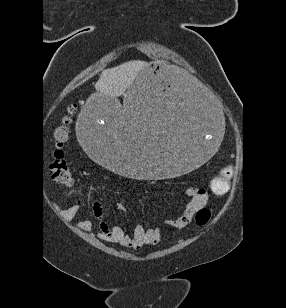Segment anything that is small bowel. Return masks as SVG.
I'll return each mask as SVG.
<instances>
[{
  "label": "small bowel",
  "mask_w": 286,
  "mask_h": 308,
  "mask_svg": "<svg viewBox=\"0 0 286 308\" xmlns=\"http://www.w3.org/2000/svg\"><path fill=\"white\" fill-rule=\"evenodd\" d=\"M186 195L190 198V201L186 205L184 211L176 218L167 221V225L176 228L183 229L187 227L194 214L202 208L208 200V194L205 189L190 186L186 189ZM81 208L80 203H76L67 209L63 210L62 214L65 220H72L77 216ZM116 208L119 211L125 212L127 210L123 203H116ZM93 212L95 217L100 218L102 214V207L99 202H95L93 205ZM77 228L82 231H89L93 228L92 220H83L77 223ZM99 237L104 241L115 242L123 247L130 249H139L147 245H156L161 240L160 228H144L141 224H137L132 233H126L120 226L108 227L105 223L100 224Z\"/></svg>",
  "instance_id": "1"
}]
</instances>
